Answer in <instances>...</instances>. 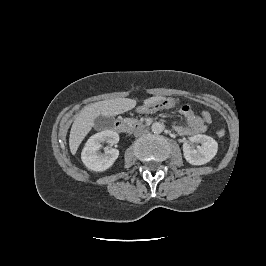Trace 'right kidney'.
<instances>
[{
	"label": "right kidney",
	"mask_w": 266,
	"mask_h": 266,
	"mask_svg": "<svg viewBox=\"0 0 266 266\" xmlns=\"http://www.w3.org/2000/svg\"><path fill=\"white\" fill-rule=\"evenodd\" d=\"M107 142L110 145L119 142V135L112 130H104L91 136L81 153L84 165L93 171H105L110 168L119 156L117 149H105V153H100L101 143Z\"/></svg>",
	"instance_id": "right-kidney-1"
}]
</instances>
